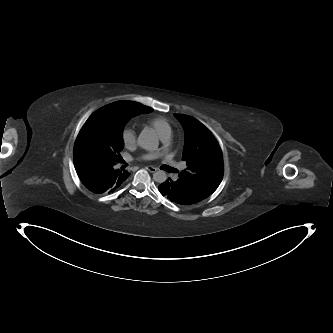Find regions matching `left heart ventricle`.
<instances>
[{"mask_svg":"<svg viewBox=\"0 0 333 333\" xmlns=\"http://www.w3.org/2000/svg\"><path fill=\"white\" fill-rule=\"evenodd\" d=\"M151 151L155 154V155H159L162 152V148L158 147V145H155L153 147H151Z\"/></svg>","mask_w":333,"mask_h":333,"instance_id":"obj_1","label":"left heart ventricle"}]
</instances>
